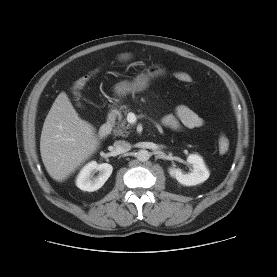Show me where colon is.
<instances>
[{
  "label": "colon",
  "mask_w": 277,
  "mask_h": 277,
  "mask_svg": "<svg viewBox=\"0 0 277 277\" xmlns=\"http://www.w3.org/2000/svg\"><path fill=\"white\" fill-rule=\"evenodd\" d=\"M95 73H96V71L93 72V74H95ZM174 77L178 81L183 82V83L192 82L191 76L186 72H182V71L175 72ZM89 78H90L89 75H85L75 81V83L72 87V93L74 96H76V97L80 96V91L86 86ZM229 147H230V141H229L228 137L224 134H221L218 138L219 152L221 154H225L229 151Z\"/></svg>",
  "instance_id": "obj_1"
}]
</instances>
